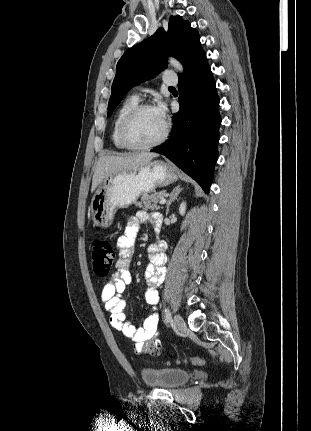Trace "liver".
Masks as SVG:
<instances>
[{"mask_svg": "<svg viewBox=\"0 0 311 431\" xmlns=\"http://www.w3.org/2000/svg\"><path fill=\"white\" fill-rule=\"evenodd\" d=\"M159 154L140 152V154H124V156H102L97 162L92 178L91 192L112 174L119 172H138L143 166H147L151 160L158 158Z\"/></svg>", "mask_w": 311, "mask_h": 431, "instance_id": "1", "label": "liver"}]
</instances>
